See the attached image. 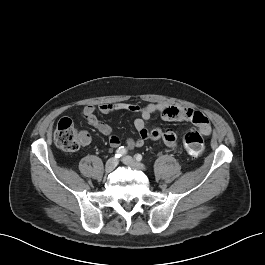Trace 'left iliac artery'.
Returning a JSON list of instances; mask_svg holds the SVG:
<instances>
[{
	"mask_svg": "<svg viewBox=\"0 0 265 265\" xmlns=\"http://www.w3.org/2000/svg\"><path fill=\"white\" fill-rule=\"evenodd\" d=\"M135 159H136L137 161H141V160H142V155H141V154H136V155H135Z\"/></svg>",
	"mask_w": 265,
	"mask_h": 265,
	"instance_id": "1",
	"label": "left iliac artery"
}]
</instances>
